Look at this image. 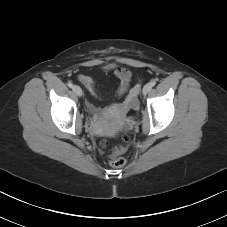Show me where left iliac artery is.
<instances>
[{"mask_svg":"<svg viewBox=\"0 0 227 227\" xmlns=\"http://www.w3.org/2000/svg\"><path fill=\"white\" fill-rule=\"evenodd\" d=\"M150 84H151V86H155L156 81H155V80H152V81L150 82Z\"/></svg>","mask_w":227,"mask_h":227,"instance_id":"1","label":"left iliac artery"}]
</instances>
